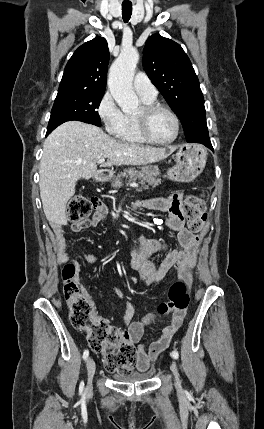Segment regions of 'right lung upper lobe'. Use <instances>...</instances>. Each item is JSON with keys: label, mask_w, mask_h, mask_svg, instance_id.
Returning <instances> with one entry per match:
<instances>
[{"label": "right lung upper lobe", "mask_w": 264, "mask_h": 429, "mask_svg": "<svg viewBox=\"0 0 264 429\" xmlns=\"http://www.w3.org/2000/svg\"><path fill=\"white\" fill-rule=\"evenodd\" d=\"M109 61L105 38L94 39L80 46L69 59L58 91H87L104 93Z\"/></svg>", "instance_id": "1"}]
</instances>
